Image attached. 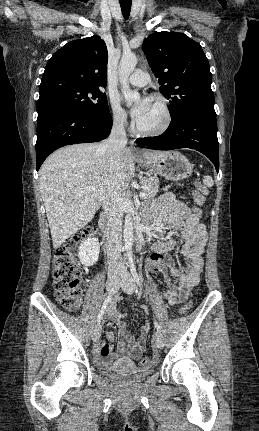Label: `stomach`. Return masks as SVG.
I'll return each mask as SVG.
<instances>
[{"instance_id":"stomach-1","label":"stomach","mask_w":259,"mask_h":431,"mask_svg":"<svg viewBox=\"0 0 259 431\" xmlns=\"http://www.w3.org/2000/svg\"><path fill=\"white\" fill-rule=\"evenodd\" d=\"M140 165L149 169L167 180L178 181L189 177L193 171V165L178 151H169L156 163L148 164L140 162Z\"/></svg>"}]
</instances>
